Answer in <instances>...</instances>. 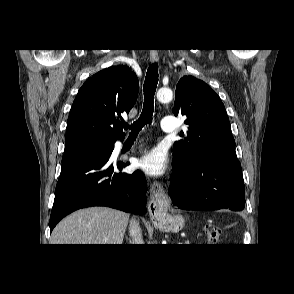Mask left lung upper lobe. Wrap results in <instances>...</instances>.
Segmentation results:
<instances>
[{"instance_id": "1", "label": "left lung upper lobe", "mask_w": 294, "mask_h": 294, "mask_svg": "<svg viewBox=\"0 0 294 294\" xmlns=\"http://www.w3.org/2000/svg\"><path fill=\"white\" fill-rule=\"evenodd\" d=\"M175 97L174 115L186 117L188 131L185 140L174 143L173 157L184 163L214 157L238 160L229 118L213 89L188 75L179 80Z\"/></svg>"}]
</instances>
